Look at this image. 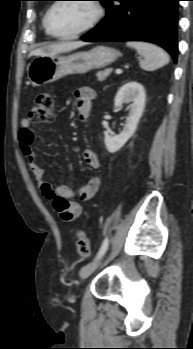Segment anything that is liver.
<instances>
[{
	"mask_svg": "<svg viewBox=\"0 0 193 349\" xmlns=\"http://www.w3.org/2000/svg\"><path fill=\"white\" fill-rule=\"evenodd\" d=\"M86 43L82 41L61 42L43 45L30 53V56H56L60 53L69 52L84 46Z\"/></svg>",
	"mask_w": 193,
	"mask_h": 349,
	"instance_id": "liver-1",
	"label": "liver"
}]
</instances>
